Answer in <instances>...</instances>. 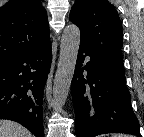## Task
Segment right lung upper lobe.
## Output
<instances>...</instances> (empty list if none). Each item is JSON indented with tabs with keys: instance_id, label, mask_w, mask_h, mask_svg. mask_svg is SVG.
<instances>
[{
	"instance_id": "cb5924a9",
	"label": "right lung upper lobe",
	"mask_w": 144,
	"mask_h": 137,
	"mask_svg": "<svg viewBox=\"0 0 144 137\" xmlns=\"http://www.w3.org/2000/svg\"><path fill=\"white\" fill-rule=\"evenodd\" d=\"M49 37L46 10L39 0H9L0 9V65Z\"/></svg>"
}]
</instances>
